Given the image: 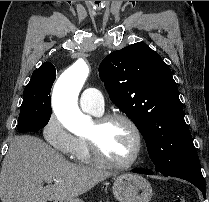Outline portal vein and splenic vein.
I'll return each mask as SVG.
<instances>
[{
  "mask_svg": "<svg viewBox=\"0 0 209 202\" xmlns=\"http://www.w3.org/2000/svg\"><path fill=\"white\" fill-rule=\"evenodd\" d=\"M45 182H46V183H52V182H55V180L52 179V178H46V179H45Z\"/></svg>",
  "mask_w": 209,
  "mask_h": 202,
  "instance_id": "18ae733b",
  "label": "portal vein and splenic vein"
}]
</instances>
